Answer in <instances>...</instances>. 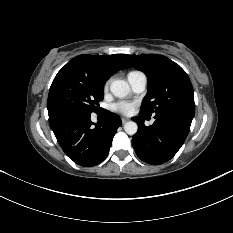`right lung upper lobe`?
Here are the masks:
<instances>
[{"instance_id": "1", "label": "right lung upper lobe", "mask_w": 233, "mask_h": 233, "mask_svg": "<svg viewBox=\"0 0 233 233\" xmlns=\"http://www.w3.org/2000/svg\"><path fill=\"white\" fill-rule=\"evenodd\" d=\"M121 56L123 55H79L70 60L58 73L80 74L105 84L114 73L128 67Z\"/></svg>"}]
</instances>
